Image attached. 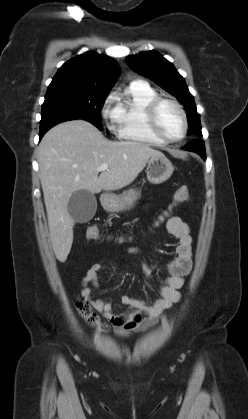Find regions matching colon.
<instances>
[{
  "instance_id": "obj_1",
  "label": "colon",
  "mask_w": 248,
  "mask_h": 419,
  "mask_svg": "<svg viewBox=\"0 0 248 419\" xmlns=\"http://www.w3.org/2000/svg\"><path fill=\"white\" fill-rule=\"evenodd\" d=\"M190 194L187 187L183 186L177 189L174 196V204H182L189 200ZM87 234L91 236L94 240L100 239V232L97 227H90L87 230ZM77 310L79 314L87 321V323L93 327H97L101 330H104L105 327L100 323L98 317L92 311L91 306L88 302L80 300L77 302Z\"/></svg>"
}]
</instances>
